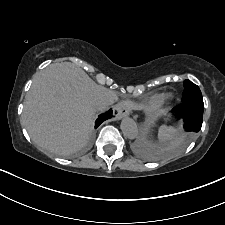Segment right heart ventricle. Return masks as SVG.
Instances as JSON below:
<instances>
[{
	"label": "right heart ventricle",
	"mask_w": 225,
	"mask_h": 225,
	"mask_svg": "<svg viewBox=\"0 0 225 225\" xmlns=\"http://www.w3.org/2000/svg\"><path fill=\"white\" fill-rule=\"evenodd\" d=\"M162 96H163V95H161V94L153 95V96L150 97V99H149V104H150L151 106L159 105V104L161 103Z\"/></svg>",
	"instance_id": "1"
}]
</instances>
